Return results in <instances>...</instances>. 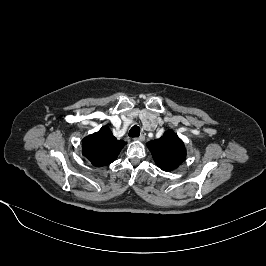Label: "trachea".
Instances as JSON below:
<instances>
[{
    "mask_svg": "<svg viewBox=\"0 0 266 266\" xmlns=\"http://www.w3.org/2000/svg\"><path fill=\"white\" fill-rule=\"evenodd\" d=\"M139 135H140V128L137 125H134L129 131V136L139 137Z\"/></svg>",
    "mask_w": 266,
    "mask_h": 266,
    "instance_id": "obj_1",
    "label": "trachea"
}]
</instances>
